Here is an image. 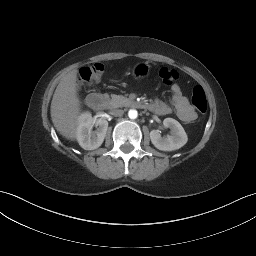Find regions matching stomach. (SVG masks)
I'll return each instance as SVG.
<instances>
[{
	"label": "stomach",
	"mask_w": 256,
	"mask_h": 256,
	"mask_svg": "<svg viewBox=\"0 0 256 256\" xmlns=\"http://www.w3.org/2000/svg\"><path fill=\"white\" fill-rule=\"evenodd\" d=\"M149 72H150V66L146 63H138L132 69V75L136 79L144 78L148 76Z\"/></svg>",
	"instance_id": "0dacf381"
}]
</instances>
